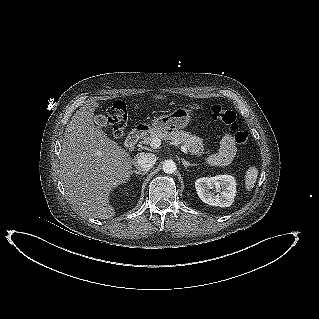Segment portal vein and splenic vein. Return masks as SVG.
<instances>
[{
  "label": "portal vein and splenic vein",
  "mask_w": 319,
  "mask_h": 319,
  "mask_svg": "<svg viewBox=\"0 0 319 319\" xmlns=\"http://www.w3.org/2000/svg\"><path fill=\"white\" fill-rule=\"evenodd\" d=\"M161 145V140L159 138H154L151 142H150V146L151 148L157 149L159 148ZM181 151L185 154L188 153V150L185 146H181Z\"/></svg>",
  "instance_id": "obj_1"
}]
</instances>
